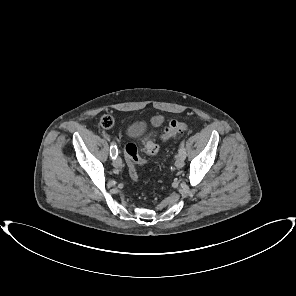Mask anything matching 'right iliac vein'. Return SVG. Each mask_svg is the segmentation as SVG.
I'll return each mask as SVG.
<instances>
[{
	"instance_id": "63e3f726",
	"label": "right iliac vein",
	"mask_w": 296,
	"mask_h": 296,
	"mask_svg": "<svg viewBox=\"0 0 296 296\" xmlns=\"http://www.w3.org/2000/svg\"><path fill=\"white\" fill-rule=\"evenodd\" d=\"M113 165L116 168L121 167L122 166V160H121V158L120 157L115 158L114 161H113Z\"/></svg>"
}]
</instances>
